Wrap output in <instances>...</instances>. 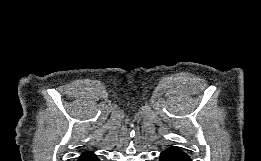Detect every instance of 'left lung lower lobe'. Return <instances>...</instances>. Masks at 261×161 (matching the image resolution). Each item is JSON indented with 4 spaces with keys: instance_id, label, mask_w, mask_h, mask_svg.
<instances>
[{
    "instance_id": "1",
    "label": "left lung lower lobe",
    "mask_w": 261,
    "mask_h": 161,
    "mask_svg": "<svg viewBox=\"0 0 261 161\" xmlns=\"http://www.w3.org/2000/svg\"><path fill=\"white\" fill-rule=\"evenodd\" d=\"M160 161H191V159L177 147H172L161 152Z\"/></svg>"
}]
</instances>
